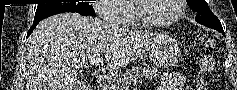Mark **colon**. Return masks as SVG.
Wrapping results in <instances>:
<instances>
[{
    "instance_id": "5ec220e1",
    "label": "colon",
    "mask_w": 237,
    "mask_h": 90,
    "mask_svg": "<svg viewBox=\"0 0 237 90\" xmlns=\"http://www.w3.org/2000/svg\"><path fill=\"white\" fill-rule=\"evenodd\" d=\"M203 42H204L205 45H207L209 47L215 45V42L212 39L208 38V37H204Z\"/></svg>"
}]
</instances>
